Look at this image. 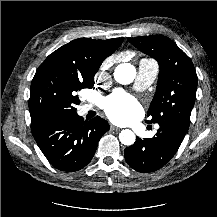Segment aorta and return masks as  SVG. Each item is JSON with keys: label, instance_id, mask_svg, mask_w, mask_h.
<instances>
[{"label": "aorta", "instance_id": "1", "mask_svg": "<svg viewBox=\"0 0 217 217\" xmlns=\"http://www.w3.org/2000/svg\"><path fill=\"white\" fill-rule=\"evenodd\" d=\"M136 76V69L130 63L118 65L114 71L115 80L123 85L130 84ZM136 136L129 129L122 130L119 134V140L122 144L130 146L135 142Z\"/></svg>", "mask_w": 217, "mask_h": 217}]
</instances>
